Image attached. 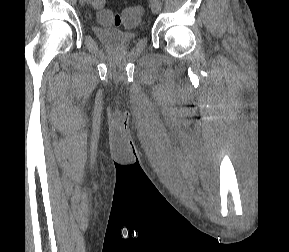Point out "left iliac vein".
I'll return each mask as SVG.
<instances>
[{"instance_id":"obj_1","label":"left iliac vein","mask_w":289,"mask_h":252,"mask_svg":"<svg viewBox=\"0 0 289 252\" xmlns=\"http://www.w3.org/2000/svg\"><path fill=\"white\" fill-rule=\"evenodd\" d=\"M150 7L154 14H158L161 11L162 4L159 0H151Z\"/></svg>"}]
</instances>
